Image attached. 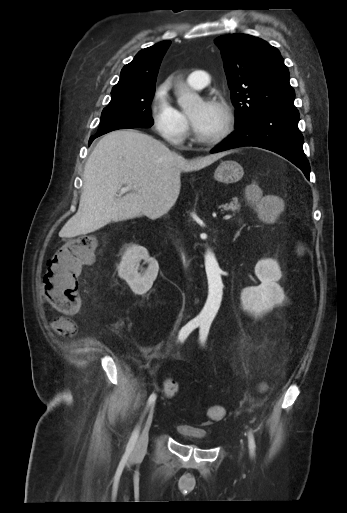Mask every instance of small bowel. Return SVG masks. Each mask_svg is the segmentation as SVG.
Returning a JSON list of instances; mask_svg holds the SVG:
<instances>
[{
    "label": "small bowel",
    "instance_id": "small-bowel-1",
    "mask_svg": "<svg viewBox=\"0 0 347 513\" xmlns=\"http://www.w3.org/2000/svg\"><path fill=\"white\" fill-rule=\"evenodd\" d=\"M53 329L54 331L61 337L65 339H70L75 335L76 327L75 324L65 318V317H58L53 319L52 321ZM163 351V344L158 343L153 346H148L144 348V352L151 358V359H158L162 356Z\"/></svg>",
    "mask_w": 347,
    "mask_h": 513
}]
</instances>
